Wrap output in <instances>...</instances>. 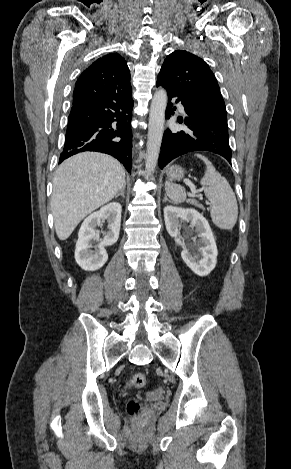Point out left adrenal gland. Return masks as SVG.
<instances>
[{"label":"left adrenal gland","instance_id":"obj_1","mask_svg":"<svg viewBox=\"0 0 291 469\" xmlns=\"http://www.w3.org/2000/svg\"><path fill=\"white\" fill-rule=\"evenodd\" d=\"M166 201L171 202L170 200H168L167 195L165 194L163 202H166Z\"/></svg>","mask_w":291,"mask_h":469}]
</instances>
